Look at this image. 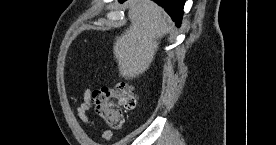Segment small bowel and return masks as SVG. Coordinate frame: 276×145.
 I'll use <instances>...</instances> for the list:
<instances>
[{
	"label": "small bowel",
	"mask_w": 276,
	"mask_h": 145,
	"mask_svg": "<svg viewBox=\"0 0 276 145\" xmlns=\"http://www.w3.org/2000/svg\"><path fill=\"white\" fill-rule=\"evenodd\" d=\"M92 91L90 89H85L83 92V101L77 108V116L78 118L89 125H97L96 121L92 118L89 114V110L92 108L93 103L91 99ZM102 130V138L104 142H109L112 137L113 133L111 130L108 129H101Z\"/></svg>",
	"instance_id": "small-bowel-1"
}]
</instances>
